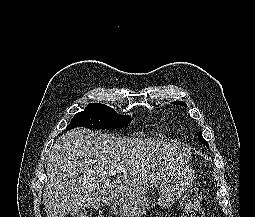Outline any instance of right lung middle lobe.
Returning <instances> with one entry per match:
<instances>
[{
	"label": "right lung middle lobe",
	"instance_id": "1",
	"mask_svg": "<svg viewBox=\"0 0 255 217\" xmlns=\"http://www.w3.org/2000/svg\"><path fill=\"white\" fill-rule=\"evenodd\" d=\"M129 122L130 116L120 115L106 105L91 103L87 105L83 112L77 113L73 117L66 129L69 130L75 127L91 129L120 128L128 125Z\"/></svg>",
	"mask_w": 255,
	"mask_h": 217
}]
</instances>
